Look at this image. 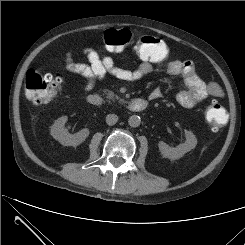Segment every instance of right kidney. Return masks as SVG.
Masks as SVG:
<instances>
[{"label": "right kidney", "mask_w": 245, "mask_h": 245, "mask_svg": "<svg viewBox=\"0 0 245 245\" xmlns=\"http://www.w3.org/2000/svg\"><path fill=\"white\" fill-rule=\"evenodd\" d=\"M67 116L58 118L51 126V136L64 146H78L89 136L88 129H82L75 134H69L65 128Z\"/></svg>", "instance_id": "1"}]
</instances>
